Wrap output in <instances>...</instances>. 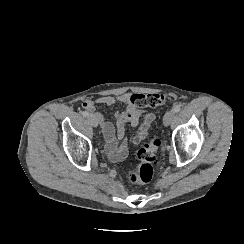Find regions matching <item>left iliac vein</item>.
Segmentation results:
<instances>
[{
	"label": "left iliac vein",
	"instance_id": "4c4485c4",
	"mask_svg": "<svg viewBox=\"0 0 244 244\" xmlns=\"http://www.w3.org/2000/svg\"><path fill=\"white\" fill-rule=\"evenodd\" d=\"M175 112L170 110L168 111L165 116H164V119H163V122H164V125L165 126H168L172 121L173 119L175 118Z\"/></svg>",
	"mask_w": 244,
	"mask_h": 244
}]
</instances>
